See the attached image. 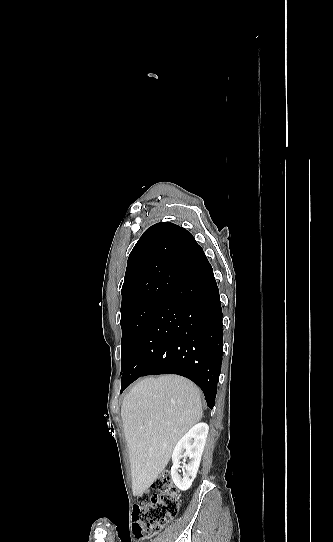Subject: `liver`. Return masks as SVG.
<instances>
[{"label": "liver", "mask_w": 333, "mask_h": 542, "mask_svg": "<svg viewBox=\"0 0 333 542\" xmlns=\"http://www.w3.org/2000/svg\"><path fill=\"white\" fill-rule=\"evenodd\" d=\"M203 416L200 390L186 378H143L124 396L121 418L133 496H142L165 470L178 440Z\"/></svg>", "instance_id": "6515ba94"}]
</instances>
